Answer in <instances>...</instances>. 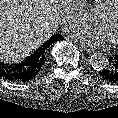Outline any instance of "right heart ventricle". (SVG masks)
I'll list each match as a JSON object with an SVG mask.
<instances>
[{
  "label": "right heart ventricle",
  "mask_w": 118,
  "mask_h": 118,
  "mask_svg": "<svg viewBox=\"0 0 118 118\" xmlns=\"http://www.w3.org/2000/svg\"><path fill=\"white\" fill-rule=\"evenodd\" d=\"M111 0H89L91 9L99 12L101 11Z\"/></svg>",
  "instance_id": "obj_1"
}]
</instances>
